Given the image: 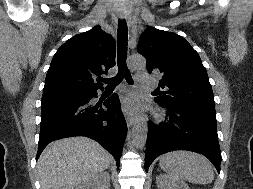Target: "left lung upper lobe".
<instances>
[{"label":"left lung upper lobe","instance_id":"left-lung-upper-lobe-1","mask_svg":"<svg viewBox=\"0 0 253 189\" xmlns=\"http://www.w3.org/2000/svg\"><path fill=\"white\" fill-rule=\"evenodd\" d=\"M138 52L147 59L149 73L160 74L155 98L162 105H180L215 113L208 75L198 53L180 35L148 27L140 36Z\"/></svg>","mask_w":253,"mask_h":189}]
</instances>
